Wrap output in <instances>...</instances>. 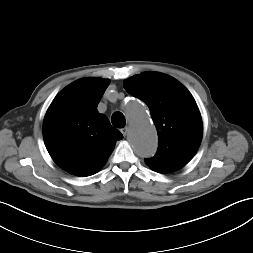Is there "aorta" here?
Returning <instances> with one entry per match:
<instances>
[{
	"mask_svg": "<svg viewBox=\"0 0 253 253\" xmlns=\"http://www.w3.org/2000/svg\"><path fill=\"white\" fill-rule=\"evenodd\" d=\"M130 120V142L136 153L145 158L153 156L157 149V134L149 120L147 110L135 100L125 106Z\"/></svg>",
	"mask_w": 253,
	"mask_h": 253,
	"instance_id": "1",
	"label": "aorta"
}]
</instances>
